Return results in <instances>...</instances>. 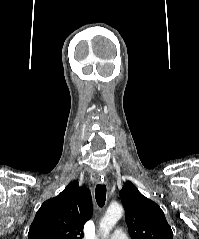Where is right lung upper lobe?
<instances>
[{"instance_id":"obj_1","label":"right lung upper lobe","mask_w":199,"mask_h":239,"mask_svg":"<svg viewBox=\"0 0 199 239\" xmlns=\"http://www.w3.org/2000/svg\"><path fill=\"white\" fill-rule=\"evenodd\" d=\"M91 214V193L73 181L58 196L41 205L28 239H82L84 224Z\"/></svg>"}]
</instances>
